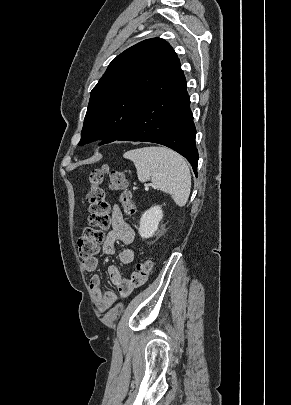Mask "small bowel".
Here are the masks:
<instances>
[{
  "mask_svg": "<svg viewBox=\"0 0 291 405\" xmlns=\"http://www.w3.org/2000/svg\"><path fill=\"white\" fill-rule=\"evenodd\" d=\"M111 229L107 233L101 250L106 255H112L115 250V244L122 242L126 245L133 243L135 233L130 225L125 221L122 211L118 205H113L111 208ZM134 251L132 249H123L119 253V260L122 264H130L134 260ZM82 265L85 271L94 272L98 267L97 258L93 257L88 260H83ZM108 275L111 283L117 287L121 296L129 295L132 290L143 283L144 279L139 278L133 273L129 278H123L119 268L111 265L108 268ZM89 287L92 292L96 306L100 311H106L116 300V293L108 290L103 291L101 287V278L99 275H93L89 282Z\"/></svg>",
  "mask_w": 291,
  "mask_h": 405,
  "instance_id": "c3829d8e",
  "label": "small bowel"
}]
</instances>
